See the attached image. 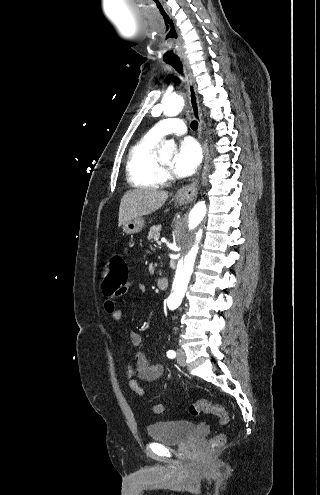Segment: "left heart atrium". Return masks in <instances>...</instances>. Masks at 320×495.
Returning <instances> with one entry per match:
<instances>
[{"mask_svg": "<svg viewBox=\"0 0 320 495\" xmlns=\"http://www.w3.org/2000/svg\"><path fill=\"white\" fill-rule=\"evenodd\" d=\"M201 162V150L196 141L186 138L181 141L172 162L173 172L180 177L192 175Z\"/></svg>", "mask_w": 320, "mask_h": 495, "instance_id": "obj_1", "label": "left heart atrium"}]
</instances>
